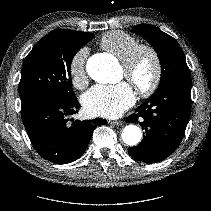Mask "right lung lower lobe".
<instances>
[{
	"label": "right lung lower lobe",
	"instance_id": "1",
	"mask_svg": "<svg viewBox=\"0 0 211 211\" xmlns=\"http://www.w3.org/2000/svg\"><path fill=\"white\" fill-rule=\"evenodd\" d=\"M21 107L22 121L34 149L42 158L57 164L79 159L95 127L106 124L102 118L69 120L68 116L77 113L80 107L76 97L68 101L41 97Z\"/></svg>",
	"mask_w": 211,
	"mask_h": 211
}]
</instances>
